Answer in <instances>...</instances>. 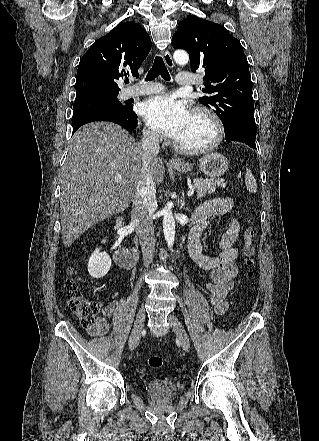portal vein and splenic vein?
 I'll list each match as a JSON object with an SVG mask.
<instances>
[{
	"mask_svg": "<svg viewBox=\"0 0 319 441\" xmlns=\"http://www.w3.org/2000/svg\"><path fill=\"white\" fill-rule=\"evenodd\" d=\"M115 177H116L117 180H122V176H121L120 173H116ZM193 193H194V188H190V189L188 190V192H187V196L190 197V196L193 195Z\"/></svg>",
	"mask_w": 319,
	"mask_h": 441,
	"instance_id": "portal-vein-and-splenic-vein-1",
	"label": "portal vein and splenic vein"
}]
</instances>
